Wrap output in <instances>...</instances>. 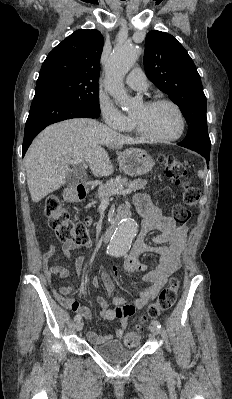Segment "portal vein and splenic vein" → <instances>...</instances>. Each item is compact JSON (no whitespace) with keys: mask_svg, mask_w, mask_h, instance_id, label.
<instances>
[{"mask_svg":"<svg viewBox=\"0 0 232 399\" xmlns=\"http://www.w3.org/2000/svg\"><path fill=\"white\" fill-rule=\"evenodd\" d=\"M69 164H75V166H79V164H82L83 160H68ZM115 194H122V196H127V194H132L131 188H128V190H112L110 196H115Z\"/></svg>","mask_w":232,"mask_h":399,"instance_id":"obj_1","label":"portal vein and splenic vein"}]
</instances>
